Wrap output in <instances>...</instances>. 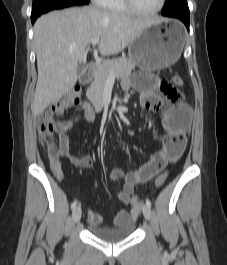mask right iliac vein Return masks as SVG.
<instances>
[{
    "instance_id": "63e3f726",
    "label": "right iliac vein",
    "mask_w": 227,
    "mask_h": 265,
    "mask_svg": "<svg viewBox=\"0 0 227 265\" xmlns=\"http://www.w3.org/2000/svg\"><path fill=\"white\" fill-rule=\"evenodd\" d=\"M81 214H82L81 207L80 206L75 207L72 213V218L75 223L80 221Z\"/></svg>"
}]
</instances>
